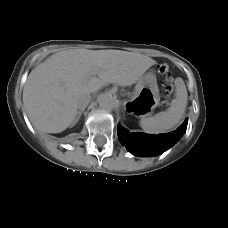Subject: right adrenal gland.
Listing matches in <instances>:
<instances>
[{"instance_id":"1","label":"right adrenal gland","mask_w":228,"mask_h":228,"mask_svg":"<svg viewBox=\"0 0 228 228\" xmlns=\"http://www.w3.org/2000/svg\"><path fill=\"white\" fill-rule=\"evenodd\" d=\"M83 111H84V110H79V111L77 112V117H76V119L74 120L72 126L75 125V124L79 121V119H80V117H81Z\"/></svg>"}]
</instances>
